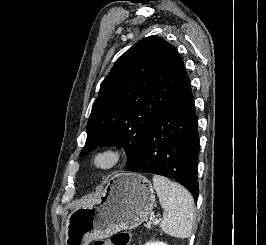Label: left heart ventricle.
I'll return each mask as SVG.
<instances>
[{"mask_svg":"<svg viewBox=\"0 0 266 245\" xmlns=\"http://www.w3.org/2000/svg\"><path fill=\"white\" fill-rule=\"evenodd\" d=\"M106 161H107V159H106V158L102 160V162H106Z\"/></svg>","mask_w":266,"mask_h":245,"instance_id":"obj_1","label":"left heart ventricle"}]
</instances>
